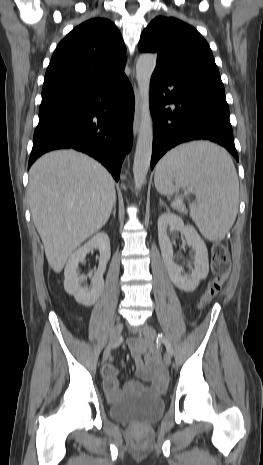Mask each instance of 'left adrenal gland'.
Instances as JSON below:
<instances>
[{
  "mask_svg": "<svg viewBox=\"0 0 263 465\" xmlns=\"http://www.w3.org/2000/svg\"><path fill=\"white\" fill-rule=\"evenodd\" d=\"M160 206H165V204L162 202V200L160 199V202H159Z\"/></svg>",
  "mask_w": 263,
  "mask_h": 465,
  "instance_id": "1",
  "label": "left adrenal gland"
}]
</instances>
